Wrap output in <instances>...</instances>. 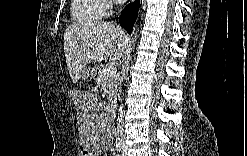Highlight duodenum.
Returning a JSON list of instances; mask_svg holds the SVG:
<instances>
[{"label": "duodenum", "instance_id": "1", "mask_svg": "<svg viewBox=\"0 0 247 156\" xmlns=\"http://www.w3.org/2000/svg\"><path fill=\"white\" fill-rule=\"evenodd\" d=\"M111 109H112V112H113L114 109H115V105L114 104L111 106Z\"/></svg>", "mask_w": 247, "mask_h": 156}]
</instances>
